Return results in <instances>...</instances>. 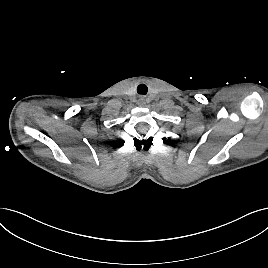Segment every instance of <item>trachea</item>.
<instances>
[{"instance_id":"obj_1","label":"trachea","mask_w":268,"mask_h":268,"mask_svg":"<svg viewBox=\"0 0 268 268\" xmlns=\"http://www.w3.org/2000/svg\"><path fill=\"white\" fill-rule=\"evenodd\" d=\"M148 91V88L145 84H140L137 87V93L140 95H146Z\"/></svg>"}]
</instances>
